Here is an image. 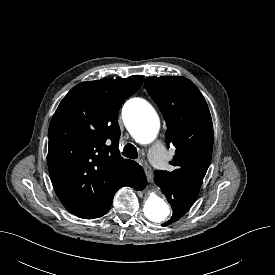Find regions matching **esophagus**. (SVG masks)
I'll list each match as a JSON object with an SVG mask.
<instances>
[{
  "label": "esophagus",
  "mask_w": 275,
  "mask_h": 275,
  "mask_svg": "<svg viewBox=\"0 0 275 275\" xmlns=\"http://www.w3.org/2000/svg\"><path fill=\"white\" fill-rule=\"evenodd\" d=\"M138 163L144 168L146 176L148 177V179H150L152 175V170L148 163L145 160H139Z\"/></svg>",
  "instance_id": "obj_1"
}]
</instances>
